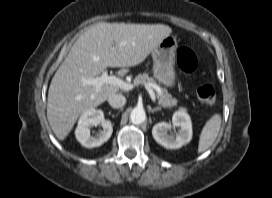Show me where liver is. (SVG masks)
<instances>
[{"label": "liver", "mask_w": 272, "mask_h": 198, "mask_svg": "<svg viewBox=\"0 0 272 198\" xmlns=\"http://www.w3.org/2000/svg\"><path fill=\"white\" fill-rule=\"evenodd\" d=\"M172 33L163 24H125L100 22L82 33L52 78L47 102V118L59 140H64L78 117L94 109L119 88L104 84H82V78H96L107 67L127 68L142 63Z\"/></svg>", "instance_id": "obj_1"}]
</instances>
